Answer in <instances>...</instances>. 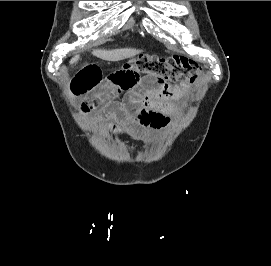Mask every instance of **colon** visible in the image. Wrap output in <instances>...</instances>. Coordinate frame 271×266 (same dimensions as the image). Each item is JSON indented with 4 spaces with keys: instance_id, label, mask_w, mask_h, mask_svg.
I'll use <instances>...</instances> for the list:
<instances>
[{
    "instance_id": "colon-1",
    "label": "colon",
    "mask_w": 271,
    "mask_h": 266,
    "mask_svg": "<svg viewBox=\"0 0 271 266\" xmlns=\"http://www.w3.org/2000/svg\"><path fill=\"white\" fill-rule=\"evenodd\" d=\"M124 67L137 69L143 74L156 76L164 81L178 82L183 87L192 84L198 77L195 66L153 55H141L126 62Z\"/></svg>"
}]
</instances>
